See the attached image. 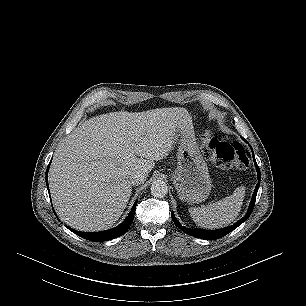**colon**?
<instances>
[{
	"mask_svg": "<svg viewBox=\"0 0 306 306\" xmlns=\"http://www.w3.org/2000/svg\"><path fill=\"white\" fill-rule=\"evenodd\" d=\"M202 147L204 155L219 167L244 168L249 164V152L241 143L219 142L211 129H206L202 134Z\"/></svg>",
	"mask_w": 306,
	"mask_h": 306,
	"instance_id": "colon-1",
	"label": "colon"
}]
</instances>
